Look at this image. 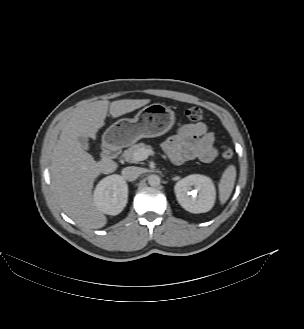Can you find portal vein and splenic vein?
<instances>
[{
  "instance_id": "1",
  "label": "portal vein and splenic vein",
  "mask_w": 304,
  "mask_h": 329,
  "mask_svg": "<svg viewBox=\"0 0 304 329\" xmlns=\"http://www.w3.org/2000/svg\"><path fill=\"white\" fill-rule=\"evenodd\" d=\"M152 154H153L152 149H139L134 153L133 157L134 160L139 162L147 159L148 156Z\"/></svg>"
}]
</instances>
